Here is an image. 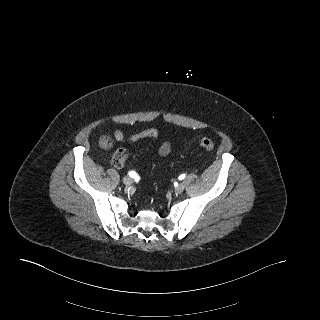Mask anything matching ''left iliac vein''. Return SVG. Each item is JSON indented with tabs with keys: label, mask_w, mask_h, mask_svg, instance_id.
<instances>
[{
	"label": "left iliac vein",
	"mask_w": 320,
	"mask_h": 320,
	"mask_svg": "<svg viewBox=\"0 0 320 320\" xmlns=\"http://www.w3.org/2000/svg\"><path fill=\"white\" fill-rule=\"evenodd\" d=\"M184 188H185L184 183H180L179 185H177L175 187L174 191H175V193L180 194L183 192Z\"/></svg>",
	"instance_id": "obj_1"
}]
</instances>
